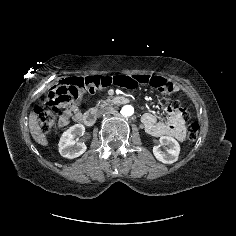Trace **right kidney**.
<instances>
[{
    "label": "right kidney",
    "mask_w": 236,
    "mask_h": 236,
    "mask_svg": "<svg viewBox=\"0 0 236 236\" xmlns=\"http://www.w3.org/2000/svg\"><path fill=\"white\" fill-rule=\"evenodd\" d=\"M85 127L82 124H75L63 132L60 137L58 149L61 156L73 159L82 155L87 147L85 143L76 142L74 139L77 135H83Z\"/></svg>",
    "instance_id": "obj_1"
}]
</instances>
